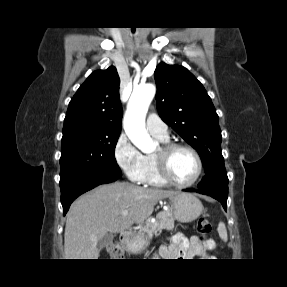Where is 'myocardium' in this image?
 <instances>
[{
    "label": "myocardium",
    "instance_id": "1",
    "mask_svg": "<svg viewBox=\"0 0 287 287\" xmlns=\"http://www.w3.org/2000/svg\"><path fill=\"white\" fill-rule=\"evenodd\" d=\"M180 149L187 150L190 153H192L197 162L198 169H197L196 176L187 183L178 182L172 176L170 169H169L170 156L175 151L180 150ZM154 158H155L156 165H157V168H158V171L161 177L169 184H172L179 188H187V187L193 186L200 179L203 173V161H202V158L199 152L195 148L187 144H181V143L164 144L163 146L159 148L158 152L155 153Z\"/></svg>",
    "mask_w": 287,
    "mask_h": 287
}]
</instances>
